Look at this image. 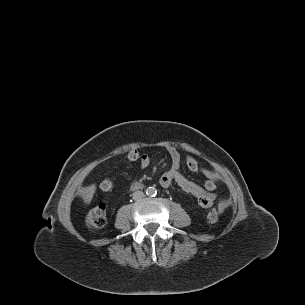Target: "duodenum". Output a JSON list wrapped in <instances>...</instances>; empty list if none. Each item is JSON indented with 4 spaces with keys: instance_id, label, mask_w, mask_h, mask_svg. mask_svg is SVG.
Listing matches in <instances>:
<instances>
[{
    "instance_id": "1",
    "label": "duodenum",
    "mask_w": 305,
    "mask_h": 305,
    "mask_svg": "<svg viewBox=\"0 0 305 305\" xmlns=\"http://www.w3.org/2000/svg\"><path fill=\"white\" fill-rule=\"evenodd\" d=\"M143 186H144L143 183L136 181L131 184V189L137 190L143 188Z\"/></svg>"
}]
</instances>
